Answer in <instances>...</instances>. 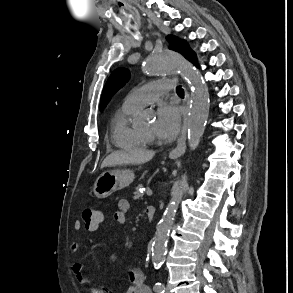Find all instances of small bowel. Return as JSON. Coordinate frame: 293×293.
<instances>
[{"instance_id": "obj_1", "label": "small bowel", "mask_w": 293, "mask_h": 293, "mask_svg": "<svg viewBox=\"0 0 293 293\" xmlns=\"http://www.w3.org/2000/svg\"><path fill=\"white\" fill-rule=\"evenodd\" d=\"M130 210V203L126 199H121L118 202L117 210L113 214V219L115 222L119 224H124L126 222V215L128 211ZM103 221V215L101 214V222ZM100 222V223H101ZM74 228L76 231H79L82 228V225L80 222H76L74 224ZM84 228L89 232H95L97 228L95 229H88L84 226ZM80 248V244L78 242H73L71 245L72 252H77ZM73 274L76 278V280L81 284L90 285V281L88 280L87 276L84 272V267L81 263H75L72 267ZM128 279L130 282V285L125 290V293H151L150 287L145 282V274L140 269H131L128 272ZM92 293H105L102 289L98 287H91Z\"/></svg>"}]
</instances>
